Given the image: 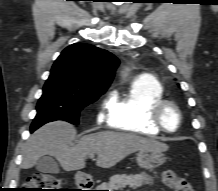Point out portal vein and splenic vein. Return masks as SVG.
Returning a JSON list of instances; mask_svg holds the SVG:
<instances>
[{
    "instance_id": "portal-vein-and-splenic-vein-1",
    "label": "portal vein and splenic vein",
    "mask_w": 218,
    "mask_h": 191,
    "mask_svg": "<svg viewBox=\"0 0 218 191\" xmlns=\"http://www.w3.org/2000/svg\"><path fill=\"white\" fill-rule=\"evenodd\" d=\"M90 158H94V154L89 155Z\"/></svg>"
}]
</instances>
